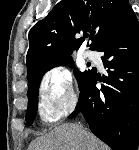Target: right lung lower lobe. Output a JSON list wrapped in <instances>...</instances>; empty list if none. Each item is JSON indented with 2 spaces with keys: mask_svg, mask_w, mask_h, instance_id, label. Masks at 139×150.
Instances as JSON below:
<instances>
[{
  "mask_svg": "<svg viewBox=\"0 0 139 150\" xmlns=\"http://www.w3.org/2000/svg\"><path fill=\"white\" fill-rule=\"evenodd\" d=\"M108 76L99 90L96 69L81 84L75 111L112 150H137L139 143V22L131 9L97 49Z\"/></svg>",
  "mask_w": 139,
  "mask_h": 150,
  "instance_id": "98d812e1",
  "label": "right lung lower lobe"
}]
</instances>
